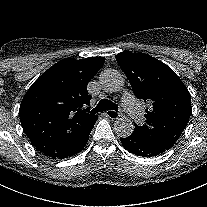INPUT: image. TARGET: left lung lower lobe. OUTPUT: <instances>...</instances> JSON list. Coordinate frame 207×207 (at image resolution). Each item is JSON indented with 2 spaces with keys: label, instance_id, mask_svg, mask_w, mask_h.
Returning <instances> with one entry per match:
<instances>
[{
  "label": "left lung lower lobe",
  "instance_id": "0a47b994",
  "mask_svg": "<svg viewBox=\"0 0 207 207\" xmlns=\"http://www.w3.org/2000/svg\"><path fill=\"white\" fill-rule=\"evenodd\" d=\"M120 140L126 150L142 157L157 156L167 150L140 131H134L131 136Z\"/></svg>",
  "mask_w": 207,
  "mask_h": 207
}]
</instances>
